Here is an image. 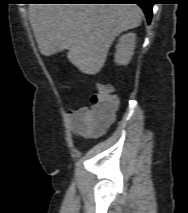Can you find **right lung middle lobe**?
I'll use <instances>...</instances> for the list:
<instances>
[{
    "mask_svg": "<svg viewBox=\"0 0 188 213\" xmlns=\"http://www.w3.org/2000/svg\"><path fill=\"white\" fill-rule=\"evenodd\" d=\"M32 2L38 3V2H46V0H32Z\"/></svg>",
    "mask_w": 188,
    "mask_h": 213,
    "instance_id": "dd1d6c3e",
    "label": "right lung middle lobe"
}]
</instances>
